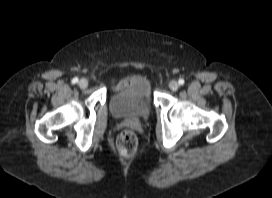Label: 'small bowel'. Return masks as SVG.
Returning <instances> with one entry per match:
<instances>
[{
    "label": "small bowel",
    "instance_id": "1",
    "mask_svg": "<svg viewBox=\"0 0 272 198\" xmlns=\"http://www.w3.org/2000/svg\"><path fill=\"white\" fill-rule=\"evenodd\" d=\"M141 82V80L137 77H130L126 80H121V81H118V82H115L113 87L115 89H119V88H122V87H125L127 85H137Z\"/></svg>",
    "mask_w": 272,
    "mask_h": 198
}]
</instances>
